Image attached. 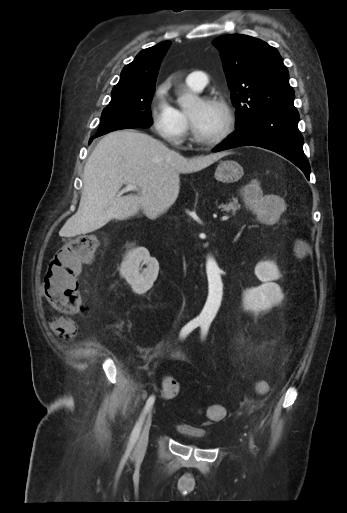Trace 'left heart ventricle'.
Listing matches in <instances>:
<instances>
[{
  "mask_svg": "<svg viewBox=\"0 0 347 513\" xmlns=\"http://www.w3.org/2000/svg\"><path fill=\"white\" fill-rule=\"evenodd\" d=\"M189 116L199 136L205 139L214 138L225 126L224 111L216 104L196 101L189 110Z\"/></svg>",
  "mask_w": 347,
  "mask_h": 513,
  "instance_id": "obj_1",
  "label": "left heart ventricle"
}]
</instances>
